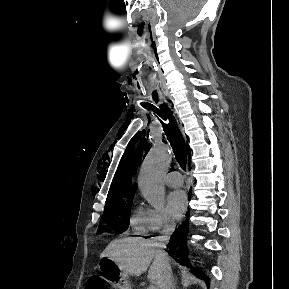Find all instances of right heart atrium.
<instances>
[{
  "label": "right heart atrium",
  "mask_w": 289,
  "mask_h": 289,
  "mask_svg": "<svg viewBox=\"0 0 289 289\" xmlns=\"http://www.w3.org/2000/svg\"><path fill=\"white\" fill-rule=\"evenodd\" d=\"M172 227L173 221L165 209H151L150 231L160 233Z\"/></svg>",
  "instance_id": "obj_1"
}]
</instances>
